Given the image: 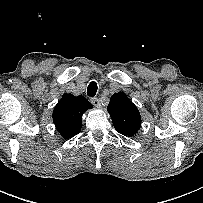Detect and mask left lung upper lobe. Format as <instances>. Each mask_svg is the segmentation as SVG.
I'll return each mask as SVG.
<instances>
[{"mask_svg": "<svg viewBox=\"0 0 203 203\" xmlns=\"http://www.w3.org/2000/svg\"><path fill=\"white\" fill-rule=\"evenodd\" d=\"M107 110L116 131L122 135L132 137L140 129V113L124 92L112 95Z\"/></svg>", "mask_w": 203, "mask_h": 203, "instance_id": "5c2ea615", "label": "left lung upper lobe"}]
</instances>
